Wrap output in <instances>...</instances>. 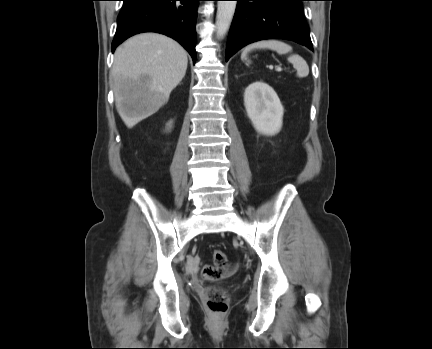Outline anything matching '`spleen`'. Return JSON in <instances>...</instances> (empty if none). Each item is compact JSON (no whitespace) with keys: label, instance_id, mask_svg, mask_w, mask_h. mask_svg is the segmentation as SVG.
<instances>
[{"label":"spleen","instance_id":"3e777b00","mask_svg":"<svg viewBox=\"0 0 432 349\" xmlns=\"http://www.w3.org/2000/svg\"><path fill=\"white\" fill-rule=\"evenodd\" d=\"M272 49L276 51L278 54H286L292 51V47L282 41L279 40H261L255 43H252L246 46L241 54V59L243 61H247L249 64L250 61L247 60V54L253 49ZM288 61L293 64L294 68L297 70V76L302 78L306 77L309 74V67L306 61L298 54H293L288 57Z\"/></svg>","mask_w":432,"mask_h":349}]
</instances>
